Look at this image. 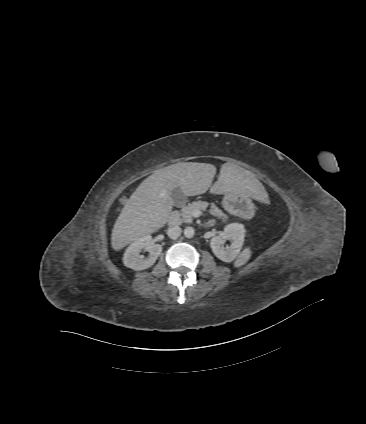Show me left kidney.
Here are the masks:
<instances>
[{"instance_id":"obj_1","label":"left kidney","mask_w":366,"mask_h":424,"mask_svg":"<svg viewBox=\"0 0 366 424\" xmlns=\"http://www.w3.org/2000/svg\"><path fill=\"white\" fill-rule=\"evenodd\" d=\"M245 229L242 224H229L224 228L222 234L212 237L210 247L214 255L224 262H232L244 244ZM231 240V245L223 247L225 240Z\"/></svg>"}]
</instances>
